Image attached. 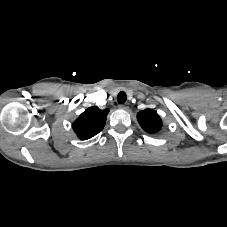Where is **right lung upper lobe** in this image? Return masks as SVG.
Wrapping results in <instances>:
<instances>
[{
	"label": "right lung upper lobe",
	"instance_id": "right-lung-upper-lobe-1",
	"mask_svg": "<svg viewBox=\"0 0 227 227\" xmlns=\"http://www.w3.org/2000/svg\"><path fill=\"white\" fill-rule=\"evenodd\" d=\"M108 112V109L100 110L96 106L85 110L72 124L78 138L87 140L102 131Z\"/></svg>",
	"mask_w": 227,
	"mask_h": 227
}]
</instances>
